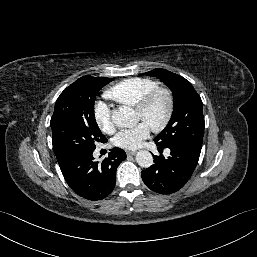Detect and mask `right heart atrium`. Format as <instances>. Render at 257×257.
<instances>
[{"instance_id": "right-heart-atrium-1", "label": "right heart atrium", "mask_w": 257, "mask_h": 257, "mask_svg": "<svg viewBox=\"0 0 257 257\" xmlns=\"http://www.w3.org/2000/svg\"><path fill=\"white\" fill-rule=\"evenodd\" d=\"M99 107H102L103 109H96L95 111V121L100 128L101 131L105 133H109L113 130V123L110 117L109 110L104 104H99ZM97 106V107H98Z\"/></svg>"}]
</instances>
